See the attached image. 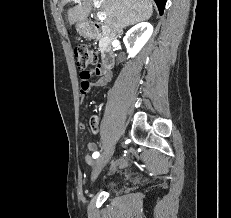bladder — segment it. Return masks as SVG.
I'll list each match as a JSON object with an SVG mask.
<instances>
[{
    "label": "bladder",
    "instance_id": "1",
    "mask_svg": "<svg viewBox=\"0 0 231 218\" xmlns=\"http://www.w3.org/2000/svg\"><path fill=\"white\" fill-rule=\"evenodd\" d=\"M116 185H117V182L114 181V180H111V181H109V182L106 184V187H107L108 189H111V188L116 187Z\"/></svg>",
    "mask_w": 231,
    "mask_h": 218
}]
</instances>
